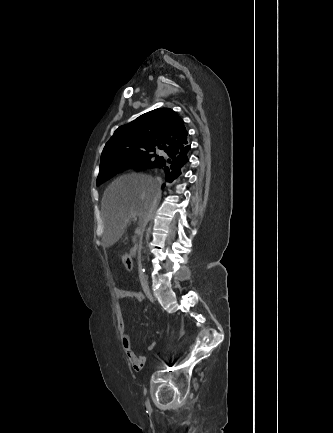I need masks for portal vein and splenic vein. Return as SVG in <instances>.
Returning a JSON list of instances; mask_svg holds the SVG:
<instances>
[{
    "label": "portal vein and splenic vein",
    "instance_id": "portal-vein-and-splenic-vein-1",
    "mask_svg": "<svg viewBox=\"0 0 333 433\" xmlns=\"http://www.w3.org/2000/svg\"><path fill=\"white\" fill-rule=\"evenodd\" d=\"M129 219H133L134 221H137V216H136V214H135V213H132V214L129 216ZM129 219H127L126 222H129ZM135 234H136L137 236H142V230L139 229V228H137L136 231H135ZM135 246H137V244H135Z\"/></svg>",
    "mask_w": 333,
    "mask_h": 433
}]
</instances>
